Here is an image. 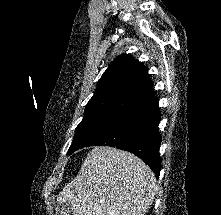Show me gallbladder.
<instances>
[{
  "label": "gallbladder",
  "instance_id": "1",
  "mask_svg": "<svg viewBox=\"0 0 221 215\" xmlns=\"http://www.w3.org/2000/svg\"><path fill=\"white\" fill-rule=\"evenodd\" d=\"M71 208L68 204H59L56 209V215H69Z\"/></svg>",
  "mask_w": 221,
  "mask_h": 215
}]
</instances>
